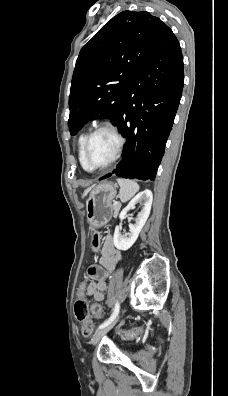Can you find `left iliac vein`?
<instances>
[{"label":"left iliac vein","instance_id":"1","mask_svg":"<svg viewBox=\"0 0 228 396\" xmlns=\"http://www.w3.org/2000/svg\"><path fill=\"white\" fill-rule=\"evenodd\" d=\"M119 318L120 315H117L116 318L110 324L103 327L102 329H99L92 338V344L96 345L100 341V339L115 326Z\"/></svg>","mask_w":228,"mask_h":396}]
</instances>
